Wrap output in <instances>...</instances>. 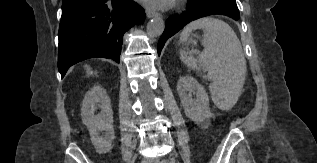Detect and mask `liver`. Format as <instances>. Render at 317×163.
<instances>
[{"label": "liver", "instance_id": "6515ba94", "mask_svg": "<svg viewBox=\"0 0 317 163\" xmlns=\"http://www.w3.org/2000/svg\"><path fill=\"white\" fill-rule=\"evenodd\" d=\"M86 68H87V73H88V75H93V74H94V72H93V71H91V70H90V68H89L88 66H86Z\"/></svg>", "mask_w": 317, "mask_h": 163}]
</instances>
